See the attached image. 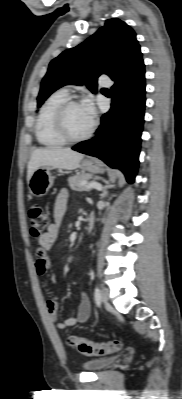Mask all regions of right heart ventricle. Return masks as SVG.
<instances>
[{
  "instance_id": "e07e8e85",
  "label": "right heart ventricle",
  "mask_w": 182,
  "mask_h": 399,
  "mask_svg": "<svg viewBox=\"0 0 182 399\" xmlns=\"http://www.w3.org/2000/svg\"><path fill=\"white\" fill-rule=\"evenodd\" d=\"M68 98V92L60 89L52 93L43 103L35 126L36 138L43 146L57 147L66 143L56 132L54 117L58 107Z\"/></svg>"
}]
</instances>
